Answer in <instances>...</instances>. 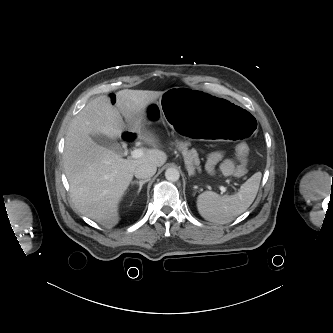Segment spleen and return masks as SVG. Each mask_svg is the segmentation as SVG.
<instances>
[{"instance_id": "obj_1", "label": "spleen", "mask_w": 333, "mask_h": 333, "mask_svg": "<svg viewBox=\"0 0 333 333\" xmlns=\"http://www.w3.org/2000/svg\"><path fill=\"white\" fill-rule=\"evenodd\" d=\"M261 175V172L253 174L233 195L221 197L212 191L203 192L196 201L199 214L205 220L216 224L231 222L253 203L259 189Z\"/></svg>"}]
</instances>
